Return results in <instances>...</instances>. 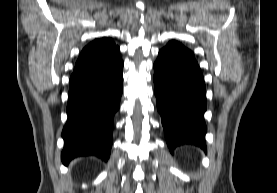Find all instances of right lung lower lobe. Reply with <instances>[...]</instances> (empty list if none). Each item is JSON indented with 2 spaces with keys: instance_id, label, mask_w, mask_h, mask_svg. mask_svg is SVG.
Returning <instances> with one entry per match:
<instances>
[{
  "instance_id": "obj_1",
  "label": "right lung lower lobe",
  "mask_w": 277,
  "mask_h": 193,
  "mask_svg": "<svg viewBox=\"0 0 277 193\" xmlns=\"http://www.w3.org/2000/svg\"><path fill=\"white\" fill-rule=\"evenodd\" d=\"M123 61L117 47L104 58L75 66L69 81L68 119L62 131V162L96 155L107 161L112 146L114 114L122 95Z\"/></svg>"
}]
</instances>
